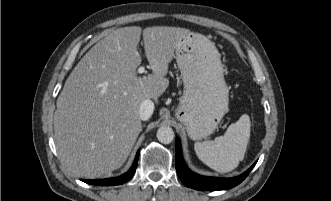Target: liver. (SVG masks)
Listing matches in <instances>:
<instances>
[{
	"instance_id": "6515ba94",
	"label": "liver",
	"mask_w": 331,
	"mask_h": 201,
	"mask_svg": "<svg viewBox=\"0 0 331 201\" xmlns=\"http://www.w3.org/2000/svg\"><path fill=\"white\" fill-rule=\"evenodd\" d=\"M143 32L152 74L137 76ZM190 33L180 27L139 26L111 30L78 62L56 102L54 139L67 168L97 178L120 168L142 130L139 108L158 100L176 48Z\"/></svg>"
}]
</instances>
